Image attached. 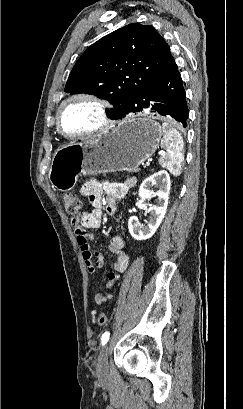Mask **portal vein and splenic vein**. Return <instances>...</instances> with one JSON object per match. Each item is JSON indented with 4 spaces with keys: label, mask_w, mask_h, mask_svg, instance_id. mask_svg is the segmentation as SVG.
Returning <instances> with one entry per match:
<instances>
[{
    "label": "portal vein and splenic vein",
    "mask_w": 243,
    "mask_h": 409,
    "mask_svg": "<svg viewBox=\"0 0 243 409\" xmlns=\"http://www.w3.org/2000/svg\"><path fill=\"white\" fill-rule=\"evenodd\" d=\"M146 165L149 166V165H150V162L148 161V162L146 163Z\"/></svg>",
    "instance_id": "18ae733b"
}]
</instances>
